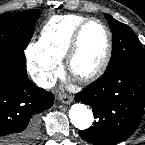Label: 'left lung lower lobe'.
Here are the masks:
<instances>
[{"label":"left lung lower lobe","mask_w":145,"mask_h":145,"mask_svg":"<svg viewBox=\"0 0 145 145\" xmlns=\"http://www.w3.org/2000/svg\"><path fill=\"white\" fill-rule=\"evenodd\" d=\"M91 106L93 126L79 135L94 145H113L130 136L141 122L145 106V70L125 66L106 72L75 96Z\"/></svg>","instance_id":"left-lung-lower-lobe-1"}]
</instances>
